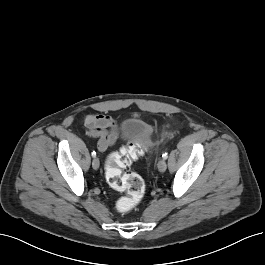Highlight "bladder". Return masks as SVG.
Wrapping results in <instances>:
<instances>
[{
    "mask_svg": "<svg viewBox=\"0 0 265 265\" xmlns=\"http://www.w3.org/2000/svg\"><path fill=\"white\" fill-rule=\"evenodd\" d=\"M120 137L122 140H135L148 146L152 140L149 124L140 117H131L121 124Z\"/></svg>",
    "mask_w": 265,
    "mask_h": 265,
    "instance_id": "1",
    "label": "bladder"
}]
</instances>
